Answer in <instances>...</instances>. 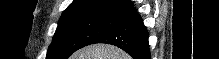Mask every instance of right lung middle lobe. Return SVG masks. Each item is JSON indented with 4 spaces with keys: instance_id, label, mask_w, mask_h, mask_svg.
I'll return each instance as SVG.
<instances>
[{
    "instance_id": "1",
    "label": "right lung middle lobe",
    "mask_w": 219,
    "mask_h": 59,
    "mask_svg": "<svg viewBox=\"0 0 219 59\" xmlns=\"http://www.w3.org/2000/svg\"><path fill=\"white\" fill-rule=\"evenodd\" d=\"M127 17L112 11H84L61 17L46 59H67L78 49L93 44Z\"/></svg>"
}]
</instances>
